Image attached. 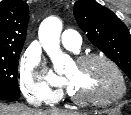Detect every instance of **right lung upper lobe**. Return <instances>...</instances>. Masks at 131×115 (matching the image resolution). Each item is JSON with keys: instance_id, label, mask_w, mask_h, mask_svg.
<instances>
[{"instance_id": "1", "label": "right lung upper lobe", "mask_w": 131, "mask_h": 115, "mask_svg": "<svg viewBox=\"0 0 131 115\" xmlns=\"http://www.w3.org/2000/svg\"><path fill=\"white\" fill-rule=\"evenodd\" d=\"M28 21L26 2L3 0L0 3V55L22 51Z\"/></svg>"}]
</instances>
